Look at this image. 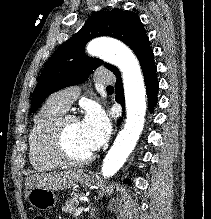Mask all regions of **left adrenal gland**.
<instances>
[{"label": "left adrenal gland", "instance_id": "a2214340", "mask_svg": "<svg viewBox=\"0 0 211 219\" xmlns=\"http://www.w3.org/2000/svg\"><path fill=\"white\" fill-rule=\"evenodd\" d=\"M91 217H95V208L94 207L91 208Z\"/></svg>", "mask_w": 211, "mask_h": 219}]
</instances>
